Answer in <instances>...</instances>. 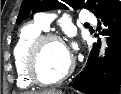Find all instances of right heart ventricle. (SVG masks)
I'll list each match as a JSON object with an SVG mask.
<instances>
[{
    "label": "right heart ventricle",
    "mask_w": 121,
    "mask_h": 94,
    "mask_svg": "<svg viewBox=\"0 0 121 94\" xmlns=\"http://www.w3.org/2000/svg\"><path fill=\"white\" fill-rule=\"evenodd\" d=\"M46 29L38 22L25 25L18 36L13 50L14 65L17 74V83L21 88H30L33 83L29 80L25 71V54L30 43Z\"/></svg>",
    "instance_id": "e07e8e85"
}]
</instances>
